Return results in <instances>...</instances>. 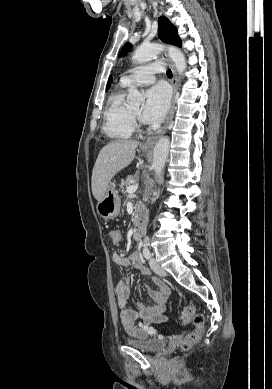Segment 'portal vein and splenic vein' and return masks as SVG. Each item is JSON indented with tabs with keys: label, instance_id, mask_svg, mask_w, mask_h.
Segmentation results:
<instances>
[{
	"label": "portal vein and splenic vein",
	"instance_id": "portal-vein-and-splenic-vein-1",
	"mask_svg": "<svg viewBox=\"0 0 272 389\" xmlns=\"http://www.w3.org/2000/svg\"><path fill=\"white\" fill-rule=\"evenodd\" d=\"M138 189V184L128 186L127 187V193L132 194Z\"/></svg>",
	"mask_w": 272,
	"mask_h": 389
}]
</instances>
